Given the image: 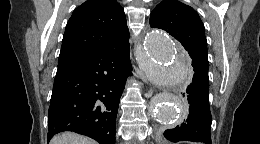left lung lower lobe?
Wrapping results in <instances>:
<instances>
[{
    "label": "left lung lower lobe",
    "mask_w": 260,
    "mask_h": 144,
    "mask_svg": "<svg viewBox=\"0 0 260 144\" xmlns=\"http://www.w3.org/2000/svg\"><path fill=\"white\" fill-rule=\"evenodd\" d=\"M190 57L195 73L192 83L181 93L189 104V115L180 125L166 130L164 136L172 142L188 140L211 144L208 60L193 54Z\"/></svg>",
    "instance_id": "left-lung-lower-lobe-1"
}]
</instances>
